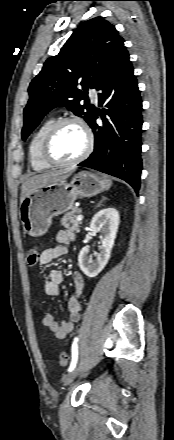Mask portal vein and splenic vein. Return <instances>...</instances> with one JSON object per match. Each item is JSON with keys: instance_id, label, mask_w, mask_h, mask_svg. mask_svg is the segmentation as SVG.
Here are the masks:
<instances>
[{"instance_id": "1", "label": "portal vein and splenic vein", "mask_w": 174, "mask_h": 440, "mask_svg": "<svg viewBox=\"0 0 174 440\" xmlns=\"http://www.w3.org/2000/svg\"><path fill=\"white\" fill-rule=\"evenodd\" d=\"M83 220V215H78L77 216V221L81 222Z\"/></svg>"}]
</instances>
